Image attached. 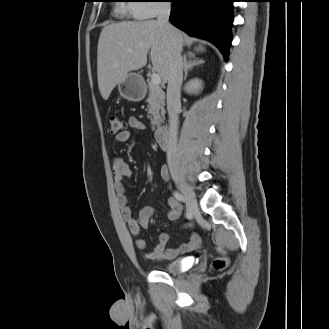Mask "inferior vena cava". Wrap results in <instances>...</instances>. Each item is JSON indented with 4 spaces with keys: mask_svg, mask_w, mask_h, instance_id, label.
I'll return each mask as SVG.
<instances>
[{
    "mask_svg": "<svg viewBox=\"0 0 329 329\" xmlns=\"http://www.w3.org/2000/svg\"><path fill=\"white\" fill-rule=\"evenodd\" d=\"M171 5L163 2L159 5L157 23L164 28L171 44V60L167 85V111L169 116V138L167 162L172 178L178 175L177 140L179 112L181 109L180 90L183 81V61L181 46L175 28L169 23Z\"/></svg>",
    "mask_w": 329,
    "mask_h": 329,
    "instance_id": "602c4592",
    "label": "inferior vena cava"
}]
</instances>
